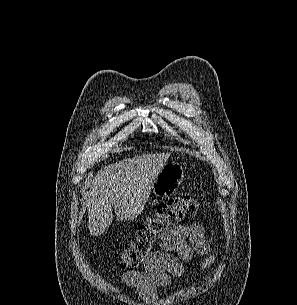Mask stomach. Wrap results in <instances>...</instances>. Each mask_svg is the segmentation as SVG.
<instances>
[{
    "label": "stomach",
    "mask_w": 297,
    "mask_h": 305,
    "mask_svg": "<svg viewBox=\"0 0 297 305\" xmlns=\"http://www.w3.org/2000/svg\"><path fill=\"white\" fill-rule=\"evenodd\" d=\"M184 166L178 162H167L156 176L151 189L156 197L168 198L175 194L184 178Z\"/></svg>",
    "instance_id": "0dacf381"
}]
</instances>
